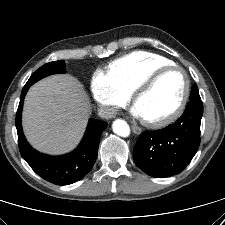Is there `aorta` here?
Wrapping results in <instances>:
<instances>
[{"mask_svg":"<svg viewBox=\"0 0 225 225\" xmlns=\"http://www.w3.org/2000/svg\"><path fill=\"white\" fill-rule=\"evenodd\" d=\"M112 129L118 136L128 137L130 135V127L125 120L116 119L112 124Z\"/></svg>","mask_w":225,"mask_h":225,"instance_id":"762f6f07","label":"aorta"}]
</instances>
